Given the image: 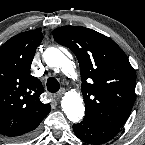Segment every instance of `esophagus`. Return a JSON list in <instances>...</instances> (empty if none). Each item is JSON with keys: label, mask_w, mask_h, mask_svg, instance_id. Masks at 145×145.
Masks as SVG:
<instances>
[{"label": "esophagus", "mask_w": 145, "mask_h": 145, "mask_svg": "<svg viewBox=\"0 0 145 145\" xmlns=\"http://www.w3.org/2000/svg\"><path fill=\"white\" fill-rule=\"evenodd\" d=\"M65 90L64 89H60L56 94H55V98L56 99H60L61 96L64 94Z\"/></svg>", "instance_id": "esophagus-1"}]
</instances>
